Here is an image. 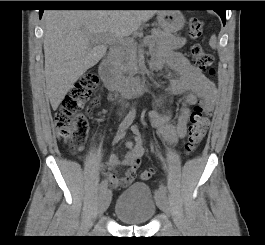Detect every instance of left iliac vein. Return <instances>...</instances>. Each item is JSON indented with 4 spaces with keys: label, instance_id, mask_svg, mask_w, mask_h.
<instances>
[{
    "label": "left iliac vein",
    "instance_id": "1",
    "mask_svg": "<svg viewBox=\"0 0 265 245\" xmlns=\"http://www.w3.org/2000/svg\"><path fill=\"white\" fill-rule=\"evenodd\" d=\"M156 200H157L158 207L163 212L168 214L170 212V208H169V202H168L167 195L165 193L160 192V194L156 196Z\"/></svg>",
    "mask_w": 265,
    "mask_h": 245
}]
</instances>
